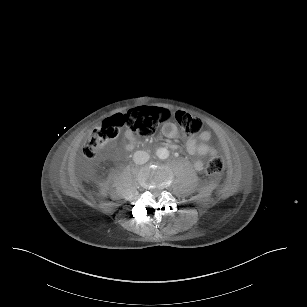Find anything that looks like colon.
I'll list each match as a JSON object with an SVG mask.
<instances>
[{
    "mask_svg": "<svg viewBox=\"0 0 307 307\" xmlns=\"http://www.w3.org/2000/svg\"><path fill=\"white\" fill-rule=\"evenodd\" d=\"M172 113L165 108L141 106L134 108L121 117L113 116L100 122L91 132L82 147V154L86 159L94 158L104 144L118 136L122 127L143 137L152 134L155 126L171 118ZM178 125L188 135H196L202 131V122L199 118L191 116L185 111L174 114ZM224 169L222 157L214 153L208 160L206 172L209 175H219Z\"/></svg>",
    "mask_w": 307,
    "mask_h": 307,
    "instance_id": "1",
    "label": "colon"
}]
</instances>
